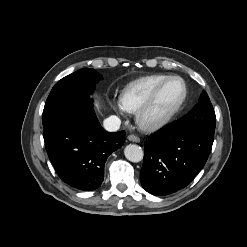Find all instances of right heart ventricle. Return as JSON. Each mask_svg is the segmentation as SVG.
I'll list each match as a JSON object with an SVG mask.
<instances>
[{
    "mask_svg": "<svg viewBox=\"0 0 247 247\" xmlns=\"http://www.w3.org/2000/svg\"><path fill=\"white\" fill-rule=\"evenodd\" d=\"M167 75H150L130 82L120 94V105L129 113L136 112L149 97L152 91L159 85Z\"/></svg>",
    "mask_w": 247,
    "mask_h": 247,
    "instance_id": "1",
    "label": "right heart ventricle"
}]
</instances>
